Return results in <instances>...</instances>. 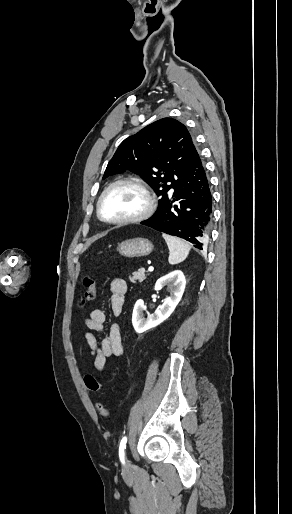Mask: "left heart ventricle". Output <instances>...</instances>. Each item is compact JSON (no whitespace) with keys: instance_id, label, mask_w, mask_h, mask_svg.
I'll return each mask as SVG.
<instances>
[{"instance_id":"b2bd125f","label":"left heart ventricle","mask_w":292,"mask_h":514,"mask_svg":"<svg viewBox=\"0 0 292 514\" xmlns=\"http://www.w3.org/2000/svg\"><path fill=\"white\" fill-rule=\"evenodd\" d=\"M144 205L141 191L131 186H119L105 196L101 210L106 219H122L137 214Z\"/></svg>"}]
</instances>
